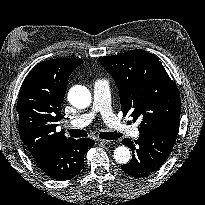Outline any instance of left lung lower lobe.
Listing matches in <instances>:
<instances>
[{
  "label": "left lung lower lobe",
  "mask_w": 205,
  "mask_h": 205,
  "mask_svg": "<svg viewBox=\"0 0 205 205\" xmlns=\"http://www.w3.org/2000/svg\"><path fill=\"white\" fill-rule=\"evenodd\" d=\"M179 125H166L140 132L135 143L130 139H123L122 143L133 151L131 161L121 167L133 177H147L157 171L175 144Z\"/></svg>",
  "instance_id": "left-lung-lower-lobe-1"
}]
</instances>
